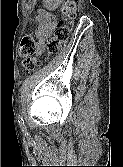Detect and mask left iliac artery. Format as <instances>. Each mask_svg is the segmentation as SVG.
<instances>
[{
  "label": "left iliac artery",
  "mask_w": 123,
  "mask_h": 167,
  "mask_svg": "<svg viewBox=\"0 0 123 167\" xmlns=\"http://www.w3.org/2000/svg\"><path fill=\"white\" fill-rule=\"evenodd\" d=\"M18 123H19L20 127H22V128L25 127L24 120L20 115H18Z\"/></svg>",
  "instance_id": "obj_1"
}]
</instances>
